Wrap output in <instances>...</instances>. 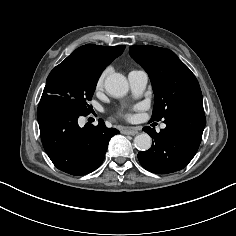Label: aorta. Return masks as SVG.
Segmentation results:
<instances>
[{
  "instance_id": "762f6f07",
  "label": "aorta",
  "mask_w": 236,
  "mask_h": 236,
  "mask_svg": "<svg viewBox=\"0 0 236 236\" xmlns=\"http://www.w3.org/2000/svg\"><path fill=\"white\" fill-rule=\"evenodd\" d=\"M104 85L106 91L116 98L124 96L129 90L126 77L120 73L109 74ZM134 144L138 150L147 151L151 147L152 139L147 133H141L134 138Z\"/></svg>"
}]
</instances>
